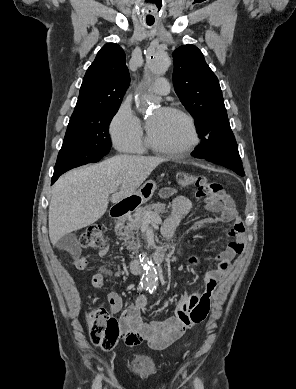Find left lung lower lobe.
<instances>
[{
    "label": "left lung lower lobe",
    "instance_id": "1",
    "mask_svg": "<svg viewBox=\"0 0 296 389\" xmlns=\"http://www.w3.org/2000/svg\"><path fill=\"white\" fill-rule=\"evenodd\" d=\"M192 156L222 165L240 176H245L229 120L213 128L206 138L201 139V144L195 148Z\"/></svg>",
    "mask_w": 296,
    "mask_h": 389
}]
</instances>
